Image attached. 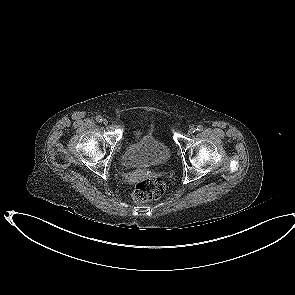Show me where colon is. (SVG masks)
Here are the masks:
<instances>
[{"label": "colon", "instance_id": "5ec220e1", "mask_svg": "<svg viewBox=\"0 0 295 295\" xmlns=\"http://www.w3.org/2000/svg\"><path fill=\"white\" fill-rule=\"evenodd\" d=\"M166 185L160 177L144 179L138 183L133 192V199L138 203L156 200L163 196Z\"/></svg>", "mask_w": 295, "mask_h": 295}]
</instances>
